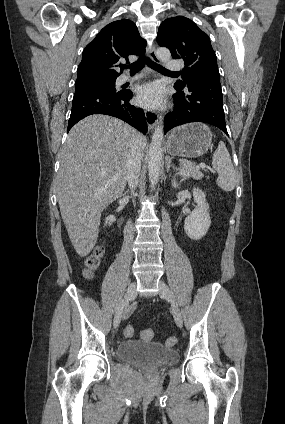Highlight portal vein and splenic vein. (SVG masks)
I'll list each match as a JSON object with an SVG mask.
<instances>
[{"label": "portal vein and splenic vein", "instance_id": "portal-vein-and-splenic-vein-1", "mask_svg": "<svg viewBox=\"0 0 285 424\" xmlns=\"http://www.w3.org/2000/svg\"><path fill=\"white\" fill-rule=\"evenodd\" d=\"M199 167H200V168H205V167H206V165H205L204 163H200V164H199Z\"/></svg>", "mask_w": 285, "mask_h": 424}]
</instances>
